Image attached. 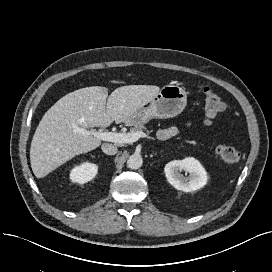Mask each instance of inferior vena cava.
I'll use <instances>...</instances> for the list:
<instances>
[{
    "instance_id": "602c4592",
    "label": "inferior vena cava",
    "mask_w": 272,
    "mask_h": 272,
    "mask_svg": "<svg viewBox=\"0 0 272 272\" xmlns=\"http://www.w3.org/2000/svg\"><path fill=\"white\" fill-rule=\"evenodd\" d=\"M101 149L108 155H115L117 153V147L110 143H103Z\"/></svg>"
}]
</instances>
